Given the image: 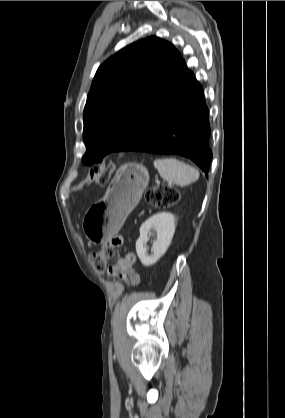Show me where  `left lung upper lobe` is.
<instances>
[{"mask_svg":"<svg viewBox=\"0 0 285 418\" xmlns=\"http://www.w3.org/2000/svg\"><path fill=\"white\" fill-rule=\"evenodd\" d=\"M182 63L171 43L153 36L125 47L98 68L84 108V164L124 150Z\"/></svg>","mask_w":285,"mask_h":418,"instance_id":"obj_1","label":"left lung upper lobe"}]
</instances>
